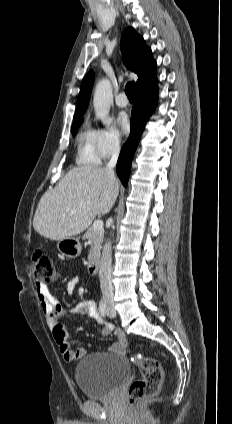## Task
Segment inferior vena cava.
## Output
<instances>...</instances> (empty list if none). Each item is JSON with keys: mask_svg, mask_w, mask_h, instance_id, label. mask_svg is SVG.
Here are the masks:
<instances>
[{"mask_svg": "<svg viewBox=\"0 0 232 424\" xmlns=\"http://www.w3.org/2000/svg\"><path fill=\"white\" fill-rule=\"evenodd\" d=\"M120 153V142L118 139H114L111 143V159L108 164L105 166V170L109 173L113 181H116L114 174V167L116 166L118 157ZM112 257H111V242L107 241L103 251L100 261V270H99V279H100V288L102 296L105 302L113 301V285H112Z\"/></svg>", "mask_w": 232, "mask_h": 424, "instance_id": "inferior-vena-cava-1", "label": "inferior vena cava"}]
</instances>
